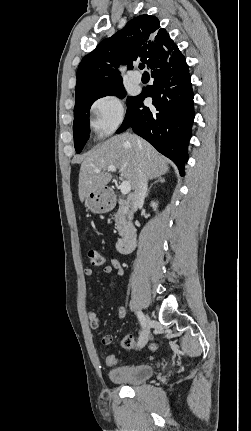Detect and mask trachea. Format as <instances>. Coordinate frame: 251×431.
<instances>
[{
  "instance_id": "1",
  "label": "trachea",
  "mask_w": 251,
  "mask_h": 431,
  "mask_svg": "<svg viewBox=\"0 0 251 431\" xmlns=\"http://www.w3.org/2000/svg\"><path fill=\"white\" fill-rule=\"evenodd\" d=\"M144 68H145V65H144L143 63H140V64H139V69H140V70H143Z\"/></svg>"
}]
</instances>
